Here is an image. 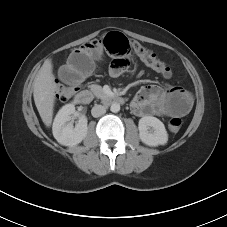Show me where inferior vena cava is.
Instances as JSON below:
<instances>
[{"instance_id":"602c4592","label":"inferior vena cava","mask_w":227,"mask_h":227,"mask_svg":"<svg viewBox=\"0 0 227 227\" xmlns=\"http://www.w3.org/2000/svg\"><path fill=\"white\" fill-rule=\"evenodd\" d=\"M105 113H106V108L102 105H95L91 110V114L93 117H100Z\"/></svg>"}]
</instances>
